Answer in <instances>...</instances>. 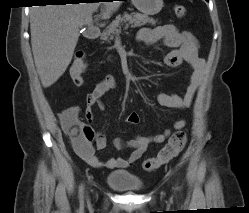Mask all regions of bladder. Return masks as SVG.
Instances as JSON below:
<instances>
[{
	"label": "bladder",
	"mask_w": 249,
	"mask_h": 213,
	"mask_svg": "<svg viewBox=\"0 0 249 213\" xmlns=\"http://www.w3.org/2000/svg\"><path fill=\"white\" fill-rule=\"evenodd\" d=\"M106 184L120 191H140L143 189L142 180L134 173L126 170L110 172L106 178Z\"/></svg>",
	"instance_id": "1"
}]
</instances>
